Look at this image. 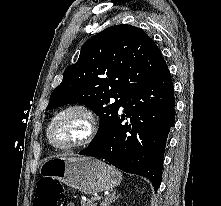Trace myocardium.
Returning a JSON list of instances; mask_svg holds the SVG:
<instances>
[{"instance_id":"myocardium-1","label":"myocardium","mask_w":221,"mask_h":206,"mask_svg":"<svg viewBox=\"0 0 221 206\" xmlns=\"http://www.w3.org/2000/svg\"><path fill=\"white\" fill-rule=\"evenodd\" d=\"M69 114H78L84 119L85 121L84 133L82 134L81 137L73 140L72 142L57 144L52 140L51 131L54 125L57 123V121H59L61 118ZM96 132H97V120L94 112L84 104L75 103L62 108L53 115V117L50 119L47 125L46 137L49 143L53 147L60 150H71L87 146L89 143H91V141L95 137Z\"/></svg>"}]
</instances>
